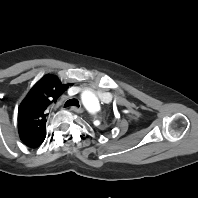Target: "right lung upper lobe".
Listing matches in <instances>:
<instances>
[{"mask_svg":"<svg viewBox=\"0 0 198 198\" xmlns=\"http://www.w3.org/2000/svg\"><path fill=\"white\" fill-rule=\"evenodd\" d=\"M55 75L42 77L29 91L18 109V130L21 141L30 148L45 139L48 111L67 90Z\"/></svg>","mask_w":198,"mask_h":198,"instance_id":"right-lung-upper-lobe-1","label":"right lung upper lobe"}]
</instances>
